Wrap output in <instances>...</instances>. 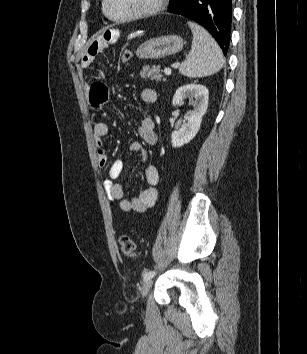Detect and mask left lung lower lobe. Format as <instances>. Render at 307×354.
Returning <instances> with one entry per match:
<instances>
[{"instance_id": "0a47b994", "label": "left lung lower lobe", "mask_w": 307, "mask_h": 354, "mask_svg": "<svg viewBox=\"0 0 307 354\" xmlns=\"http://www.w3.org/2000/svg\"><path fill=\"white\" fill-rule=\"evenodd\" d=\"M168 11L205 27L226 55L232 22V0H172Z\"/></svg>"}]
</instances>
